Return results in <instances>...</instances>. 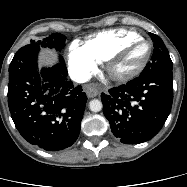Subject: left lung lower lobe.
Listing matches in <instances>:
<instances>
[{
	"mask_svg": "<svg viewBox=\"0 0 187 187\" xmlns=\"http://www.w3.org/2000/svg\"><path fill=\"white\" fill-rule=\"evenodd\" d=\"M112 133L125 144L153 138L163 127L173 102L172 71L139 76L101 94Z\"/></svg>",
	"mask_w": 187,
	"mask_h": 187,
	"instance_id": "left-lung-lower-lobe-1",
	"label": "left lung lower lobe"
}]
</instances>
